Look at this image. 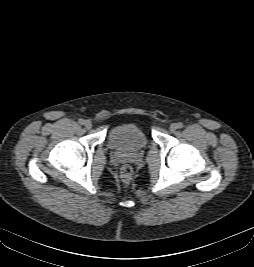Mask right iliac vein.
Masks as SVG:
<instances>
[{
  "mask_svg": "<svg viewBox=\"0 0 254 267\" xmlns=\"http://www.w3.org/2000/svg\"><path fill=\"white\" fill-rule=\"evenodd\" d=\"M84 126H85L86 129H91V128H92V123H91V121L86 120V121L84 122Z\"/></svg>",
  "mask_w": 254,
  "mask_h": 267,
  "instance_id": "right-iliac-vein-1",
  "label": "right iliac vein"
}]
</instances>
